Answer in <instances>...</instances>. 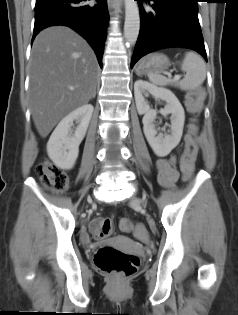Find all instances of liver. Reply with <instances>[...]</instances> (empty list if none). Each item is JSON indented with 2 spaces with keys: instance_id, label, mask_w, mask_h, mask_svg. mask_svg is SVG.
<instances>
[{
  "instance_id": "liver-1",
  "label": "liver",
  "mask_w": 238,
  "mask_h": 315,
  "mask_svg": "<svg viewBox=\"0 0 238 315\" xmlns=\"http://www.w3.org/2000/svg\"><path fill=\"white\" fill-rule=\"evenodd\" d=\"M97 73L93 50L72 29L53 26L37 35L31 54L29 96L33 122L41 137L89 102Z\"/></svg>"
}]
</instances>
